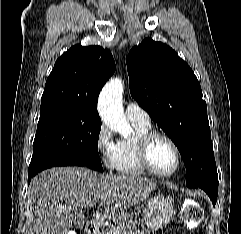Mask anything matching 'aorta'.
I'll return each mask as SVG.
<instances>
[{"instance_id": "obj_1", "label": "aorta", "mask_w": 241, "mask_h": 234, "mask_svg": "<svg viewBox=\"0 0 241 234\" xmlns=\"http://www.w3.org/2000/svg\"><path fill=\"white\" fill-rule=\"evenodd\" d=\"M123 83L120 78H113L103 87L98 101V111L102 121L111 129L127 138L133 132L126 121L122 106Z\"/></svg>"}]
</instances>
